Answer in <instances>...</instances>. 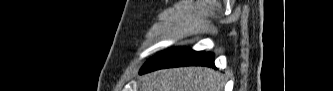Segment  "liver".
<instances>
[{"label":"liver","instance_id":"6515ba94","mask_svg":"<svg viewBox=\"0 0 333 91\" xmlns=\"http://www.w3.org/2000/svg\"><path fill=\"white\" fill-rule=\"evenodd\" d=\"M220 74L206 67L158 70L141 77V91H222Z\"/></svg>","mask_w":333,"mask_h":91}]
</instances>
